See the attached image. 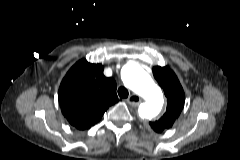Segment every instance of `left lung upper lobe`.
<instances>
[{
    "label": "left lung upper lobe",
    "instance_id": "1",
    "mask_svg": "<svg viewBox=\"0 0 240 160\" xmlns=\"http://www.w3.org/2000/svg\"><path fill=\"white\" fill-rule=\"evenodd\" d=\"M153 75L167 97V108L164 115L159 120L149 123L154 131L161 133L165 129H169L180 115L185 95L177 76L168 66L154 67Z\"/></svg>",
    "mask_w": 240,
    "mask_h": 160
}]
</instances>
